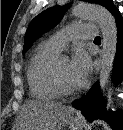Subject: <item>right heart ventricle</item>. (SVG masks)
Listing matches in <instances>:
<instances>
[{
	"label": "right heart ventricle",
	"mask_w": 123,
	"mask_h": 130,
	"mask_svg": "<svg viewBox=\"0 0 123 130\" xmlns=\"http://www.w3.org/2000/svg\"><path fill=\"white\" fill-rule=\"evenodd\" d=\"M58 53L43 42L36 48L29 63L27 79L32 96L38 100L51 101L60 96L52 77L53 61Z\"/></svg>",
	"instance_id": "right-heart-ventricle-1"
}]
</instances>
